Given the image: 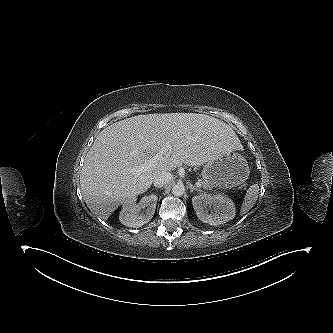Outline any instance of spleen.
Listing matches in <instances>:
<instances>
[{"label":"spleen","mask_w":333,"mask_h":333,"mask_svg":"<svg viewBox=\"0 0 333 333\" xmlns=\"http://www.w3.org/2000/svg\"><path fill=\"white\" fill-rule=\"evenodd\" d=\"M258 194H259L258 184L250 186V188L247 190L246 196L241 206V211H240L241 215L246 214L255 205L258 199Z\"/></svg>","instance_id":"3e777b00"}]
</instances>
